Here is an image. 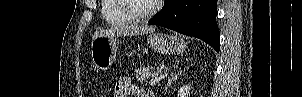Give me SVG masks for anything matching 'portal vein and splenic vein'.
<instances>
[{
  "label": "portal vein and splenic vein",
  "instance_id": "18ae733b",
  "mask_svg": "<svg viewBox=\"0 0 302 97\" xmlns=\"http://www.w3.org/2000/svg\"><path fill=\"white\" fill-rule=\"evenodd\" d=\"M167 74V71L165 72V75ZM154 81H155V79H154Z\"/></svg>",
  "mask_w": 302,
  "mask_h": 97
}]
</instances>
